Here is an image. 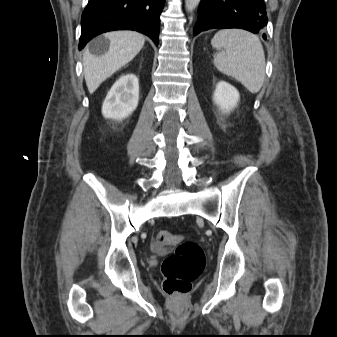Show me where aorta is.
<instances>
[{"label":"aorta","instance_id":"aorta-1","mask_svg":"<svg viewBox=\"0 0 337 337\" xmlns=\"http://www.w3.org/2000/svg\"><path fill=\"white\" fill-rule=\"evenodd\" d=\"M200 0H185V8L188 12H191L192 10H194L198 4H199Z\"/></svg>","mask_w":337,"mask_h":337}]
</instances>
